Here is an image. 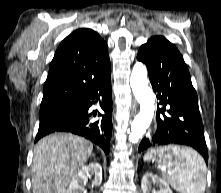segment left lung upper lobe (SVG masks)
<instances>
[{
	"mask_svg": "<svg viewBox=\"0 0 221 193\" xmlns=\"http://www.w3.org/2000/svg\"><path fill=\"white\" fill-rule=\"evenodd\" d=\"M148 43H153V44H156L160 47L170 49V50H173V51L179 53L177 48L162 36H154L148 40Z\"/></svg>",
	"mask_w": 221,
	"mask_h": 193,
	"instance_id": "left-lung-upper-lobe-1",
	"label": "left lung upper lobe"
}]
</instances>
